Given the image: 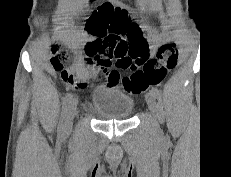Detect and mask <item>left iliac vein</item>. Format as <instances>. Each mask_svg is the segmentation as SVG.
<instances>
[{"label": "left iliac vein", "instance_id": "4c4485c4", "mask_svg": "<svg viewBox=\"0 0 231 177\" xmlns=\"http://www.w3.org/2000/svg\"><path fill=\"white\" fill-rule=\"evenodd\" d=\"M145 100H146V103L148 105V108H149L150 112L152 113V115L156 119V116H157V104H156V100H155L154 95L151 92H148L145 95Z\"/></svg>", "mask_w": 231, "mask_h": 177}]
</instances>
